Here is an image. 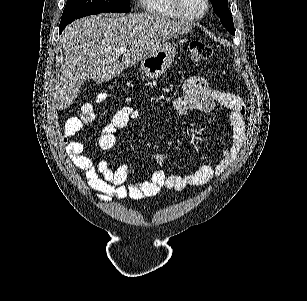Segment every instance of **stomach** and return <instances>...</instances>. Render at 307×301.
Masks as SVG:
<instances>
[{"label": "stomach", "mask_w": 307, "mask_h": 301, "mask_svg": "<svg viewBox=\"0 0 307 301\" xmlns=\"http://www.w3.org/2000/svg\"><path fill=\"white\" fill-rule=\"evenodd\" d=\"M176 52L177 48L174 42H163L158 50L142 58L140 64L141 74L145 78H158L172 64Z\"/></svg>", "instance_id": "1"}]
</instances>
